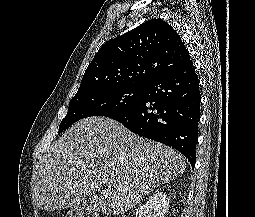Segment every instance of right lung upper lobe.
I'll return each mask as SVG.
<instances>
[{
    "label": "right lung upper lobe",
    "instance_id": "cb5924a9",
    "mask_svg": "<svg viewBox=\"0 0 255 217\" xmlns=\"http://www.w3.org/2000/svg\"><path fill=\"white\" fill-rule=\"evenodd\" d=\"M191 61L171 25L151 19L106 42L87 67L78 91L106 86H147Z\"/></svg>",
    "mask_w": 255,
    "mask_h": 217
}]
</instances>
